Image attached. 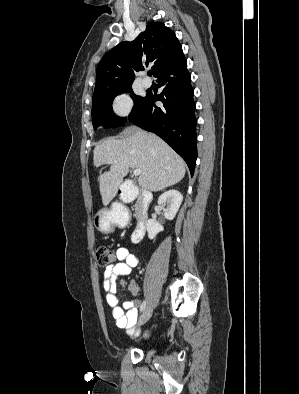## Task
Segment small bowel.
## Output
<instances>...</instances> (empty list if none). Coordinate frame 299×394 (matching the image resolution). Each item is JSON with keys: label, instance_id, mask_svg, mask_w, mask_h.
<instances>
[{"label": "small bowel", "instance_id": "c3829d8e", "mask_svg": "<svg viewBox=\"0 0 299 394\" xmlns=\"http://www.w3.org/2000/svg\"><path fill=\"white\" fill-rule=\"evenodd\" d=\"M116 258L118 260L117 263L105 268L102 276V285L116 326L126 330L129 334H133L135 332L134 326L138 317L140 300L134 298L119 306L116 282L119 277L129 275L131 270L138 265L139 259L126 246H119L116 249ZM128 291L132 296L136 297L140 293V288L136 282H131L128 285Z\"/></svg>", "mask_w": 299, "mask_h": 394}]
</instances>
